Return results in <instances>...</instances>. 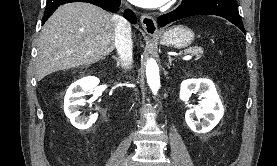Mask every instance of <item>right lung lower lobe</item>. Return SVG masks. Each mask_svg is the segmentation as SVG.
<instances>
[{
    "label": "right lung lower lobe",
    "mask_w": 277,
    "mask_h": 166,
    "mask_svg": "<svg viewBox=\"0 0 277 166\" xmlns=\"http://www.w3.org/2000/svg\"><path fill=\"white\" fill-rule=\"evenodd\" d=\"M71 2H87L99 6L104 10L116 13L120 6L121 0H48L42 24L45 23V21L60 5ZM124 17L131 23H136V16L132 11L126 10L124 13Z\"/></svg>",
    "instance_id": "obj_1"
}]
</instances>
